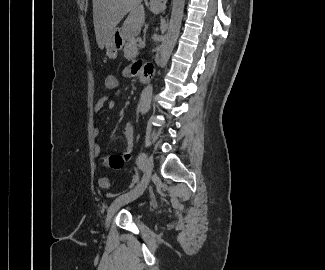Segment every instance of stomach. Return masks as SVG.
Masks as SVG:
<instances>
[{
	"instance_id": "obj_1",
	"label": "stomach",
	"mask_w": 325,
	"mask_h": 270,
	"mask_svg": "<svg viewBox=\"0 0 325 270\" xmlns=\"http://www.w3.org/2000/svg\"><path fill=\"white\" fill-rule=\"evenodd\" d=\"M126 40L127 38L122 30H114L112 36L105 45L106 55L110 59H115L117 57V52L122 48Z\"/></svg>"
}]
</instances>
